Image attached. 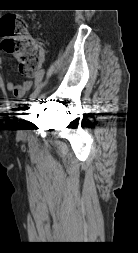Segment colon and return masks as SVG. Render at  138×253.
Returning a JSON list of instances; mask_svg holds the SVG:
<instances>
[{
  "mask_svg": "<svg viewBox=\"0 0 138 253\" xmlns=\"http://www.w3.org/2000/svg\"><path fill=\"white\" fill-rule=\"evenodd\" d=\"M2 49L15 54L19 70L26 77L38 74L44 59L43 45L29 36L25 21L18 15L9 14L0 19Z\"/></svg>",
  "mask_w": 138,
  "mask_h": 253,
  "instance_id": "1",
  "label": "colon"
}]
</instances>
